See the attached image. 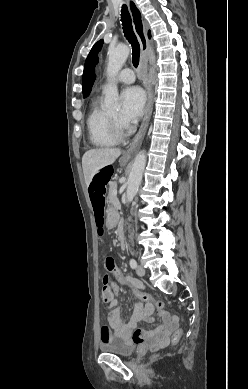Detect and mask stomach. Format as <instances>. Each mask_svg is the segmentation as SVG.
<instances>
[{
  "label": "stomach",
  "mask_w": 248,
  "mask_h": 389,
  "mask_svg": "<svg viewBox=\"0 0 248 389\" xmlns=\"http://www.w3.org/2000/svg\"><path fill=\"white\" fill-rule=\"evenodd\" d=\"M117 206L114 204H111L107 208V215L106 218L108 220V225L109 226H118L120 224V221L118 220L119 215L117 214Z\"/></svg>",
  "instance_id": "1"
}]
</instances>
